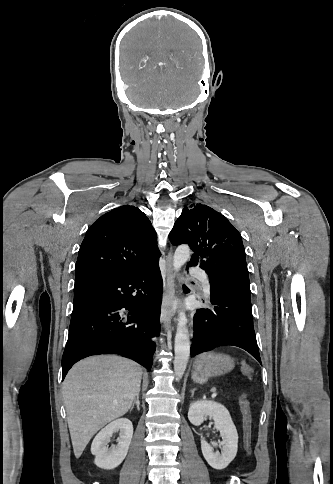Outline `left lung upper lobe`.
I'll return each instance as SVG.
<instances>
[{
  "label": "left lung upper lobe",
  "mask_w": 333,
  "mask_h": 484,
  "mask_svg": "<svg viewBox=\"0 0 333 484\" xmlns=\"http://www.w3.org/2000/svg\"><path fill=\"white\" fill-rule=\"evenodd\" d=\"M169 239L173 245L188 244L194 251L192 257L201 260L227 247H236L245 256L240 233L221 213L202 204L183 209Z\"/></svg>",
  "instance_id": "1"
}]
</instances>
